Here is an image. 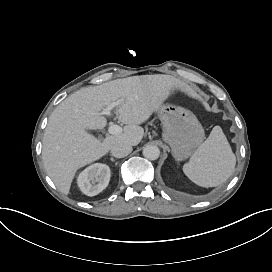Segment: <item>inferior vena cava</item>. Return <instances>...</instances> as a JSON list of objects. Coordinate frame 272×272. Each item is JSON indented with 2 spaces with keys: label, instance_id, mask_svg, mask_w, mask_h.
Returning a JSON list of instances; mask_svg holds the SVG:
<instances>
[{
  "label": "inferior vena cava",
  "instance_id": "inferior-vena-cava-1",
  "mask_svg": "<svg viewBox=\"0 0 272 272\" xmlns=\"http://www.w3.org/2000/svg\"><path fill=\"white\" fill-rule=\"evenodd\" d=\"M131 152L132 146L124 142H118L111 147V154L116 158L125 157Z\"/></svg>",
  "mask_w": 272,
  "mask_h": 272
}]
</instances>
